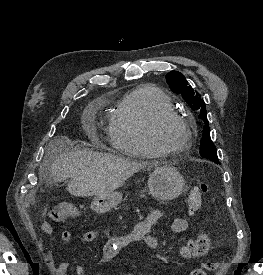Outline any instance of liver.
Returning <instances> with one entry per match:
<instances>
[{
    "label": "liver",
    "instance_id": "liver-1",
    "mask_svg": "<svg viewBox=\"0 0 263 275\" xmlns=\"http://www.w3.org/2000/svg\"><path fill=\"white\" fill-rule=\"evenodd\" d=\"M72 144L67 137L52 140L46 157L54 151V158L52 162L45 160L40 174L46 172L54 182L70 178L67 190L73 196H107L146 165L111 154L69 150Z\"/></svg>",
    "mask_w": 263,
    "mask_h": 275
}]
</instances>
